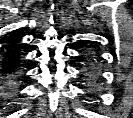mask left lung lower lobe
I'll use <instances>...</instances> for the list:
<instances>
[{"label":"left lung lower lobe","instance_id":"obj_1","mask_svg":"<svg viewBox=\"0 0 133 118\" xmlns=\"http://www.w3.org/2000/svg\"><path fill=\"white\" fill-rule=\"evenodd\" d=\"M88 47V46H87ZM83 55L80 58V61L84 62V80L82 82L86 83V89L90 91L89 96H95V93H99V85L102 82L100 76L98 75V62L99 55L91 54V52L83 50ZM99 99V98H97Z\"/></svg>","mask_w":133,"mask_h":118}]
</instances>
